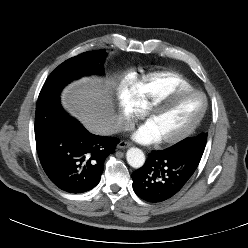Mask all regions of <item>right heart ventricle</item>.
I'll list each match as a JSON object with an SVG mask.
<instances>
[{
	"label": "right heart ventricle",
	"instance_id": "obj_1",
	"mask_svg": "<svg viewBox=\"0 0 248 248\" xmlns=\"http://www.w3.org/2000/svg\"><path fill=\"white\" fill-rule=\"evenodd\" d=\"M129 86L143 109L174 90L193 89L186 78L173 71L149 73L140 79L130 80Z\"/></svg>",
	"mask_w": 248,
	"mask_h": 248
}]
</instances>
